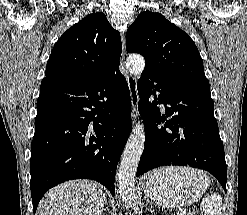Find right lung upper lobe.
I'll list each match as a JSON object with an SVG mask.
<instances>
[{
  "label": "right lung upper lobe",
  "mask_w": 247,
  "mask_h": 215,
  "mask_svg": "<svg viewBox=\"0 0 247 215\" xmlns=\"http://www.w3.org/2000/svg\"><path fill=\"white\" fill-rule=\"evenodd\" d=\"M121 52L120 33L111 27L103 13H92L56 42L45 75L62 83H91L119 66Z\"/></svg>",
  "instance_id": "right-lung-upper-lobe-1"
}]
</instances>
